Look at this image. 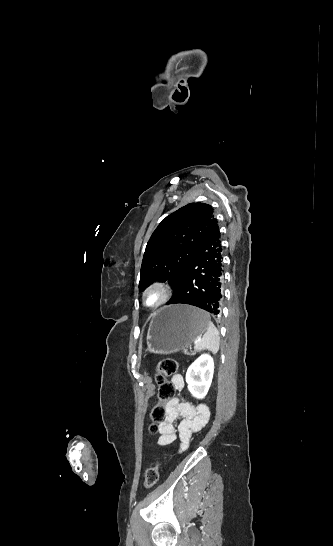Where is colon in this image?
<instances>
[{
	"label": "colon",
	"instance_id": "1",
	"mask_svg": "<svg viewBox=\"0 0 333 546\" xmlns=\"http://www.w3.org/2000/svg\"><path fill=\"white\" fill-rule=\"evenodd\" d=\"M179 367L178 361L171 358H165L158 362L156 366L155 379L158 384V403L153 406L150 412V431L155 433L158 430V424L164 419L165 403L170 401L175 396V386L168 378L174 376L177 373ZM160 476V463H154L147 469L144 486L146 488L153 487L159 480Z\"/></svg>",
	"mask_w": 333,
	"mask_h": 546
}]
</instances>
